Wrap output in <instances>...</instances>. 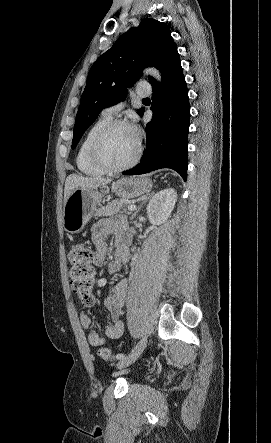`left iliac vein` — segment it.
<instances>
[{
    "label": "left iliac vein",
    "instance_id": "4c4485c4",
    "mask_svg": "<svg viewBox=\"0 0 271 443\" xmlns=\"http://www.w3.org/2000/svg\"><path fill=\"white\" fill-rule=\"evenodd\" d=\"M146 344H147V338L144 337L137 343V345L132 349V351L125 359H122L117 363V368L122 369L134 363L137 360V358L142 354L143 350L146 347Z\"/></svg>",
    "mask_w": 271,
    "mask_h": 443
}]
</instances>
